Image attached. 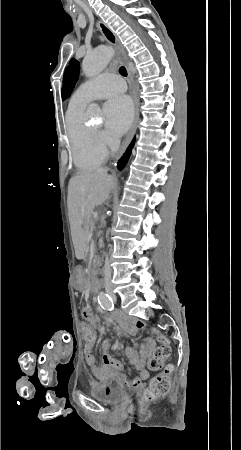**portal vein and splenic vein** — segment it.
I'll return each mask as SVG.
<instances>
[{
    "instance_id": "portal-vein-and-splenic-vein-1",
    "label": "portal vein and splenic vein",
    "mask_w": 241,
    "mask_h": 450,
    "mask_svg": "<svg viewBox=\"0 0 241 450\" xmlns=\"http://www.w3.org/2000/svg\"><path fill=\"white\" fill-rule=\"evenodd\" d=\"M89 236H88V238H89V240H90V238H92V236H93V234H88Z\"/></svg>"
}]
</instances>
